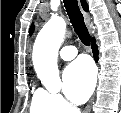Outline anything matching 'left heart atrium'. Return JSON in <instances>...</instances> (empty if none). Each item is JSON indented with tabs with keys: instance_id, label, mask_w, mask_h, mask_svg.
I'll return each mask as SVG.
<instances>
[{
	"instance_id": "left-heart-atrium-1",
	"label": "left heart atrium",
	"mask_w": 121,
	"mask_h": 113,
	"mask_svg": "<svg viewBox=\"0 0 121 113\" xmlns=\"http://www.w3.org/2000/svg\"><path fill=\"white\" fill-rule=\"evenodd\" d=\"M94 84L95 69L86 58L74 61L64 71V93L75 103L86 101L93 91Z\"/></svg>"
}]
</instances>
